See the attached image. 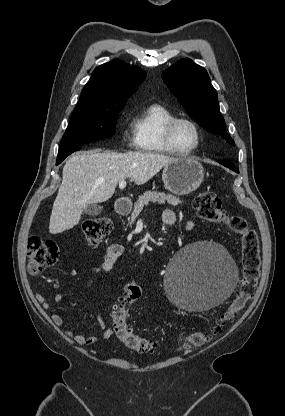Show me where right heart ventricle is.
<instances>
[{"mask_svg":"<svg viewBox=\"0 0 285 416\" xmlns=\"http://www.w3.org/2000/svg\"><path fill=\"white\" fill-rule=\"evenodd\" d=\"M176 115L165 104L153 102L142 109L135 117L137 149L150 154H168L164 141V128Z\"/></svg>","mask_w":285,"mask_h":416,"instance_id":"obj_1","label":"right heart ventricle"}]
</instances>
